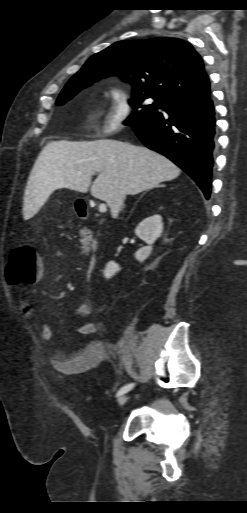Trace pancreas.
<instances>
[{
	"label": "pancreas",
	"mask_w": 247,
	"mask_h": 513,
	"mask_svg": "<svg viewBox=\"0 0 247 513\" xmlns=\"http://www.w3.org/2000/svg\"><path fill=\"white\" fill-rule=\"evenodd\" d=\"M80 236L82 237L81 242L83 245L82 253L87 255L90 250V247L95 249L97 241L95 239H93L92 233L89 229H87V227H84L83 229H81Z\"/></svg>",
	"instance_id": "pancreas-1"
}]
</instances>
